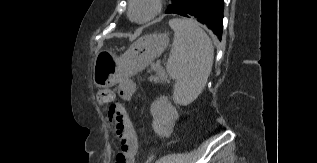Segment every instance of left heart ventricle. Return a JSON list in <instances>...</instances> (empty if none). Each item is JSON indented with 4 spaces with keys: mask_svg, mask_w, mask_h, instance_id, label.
<instances>
[{
    "mask_svg": "<svg viewBox=\"0 0 317 163\" xmlns=\"http://www.w3.org/2000/svg\"><path fill=\"white\" fill-rule=\"evenodd\" d=\"M152 9V0H136L132 14L135 19H143L152 12Z\"/></svg>",
    "mask_w": 317,
    "mask_h": 163,
    "instance_id": "1",
    "label": "left heart ventricle"
}]
</instances>
